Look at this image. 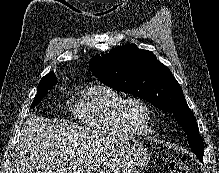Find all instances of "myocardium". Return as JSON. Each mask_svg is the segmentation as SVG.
Instances as JSON below:
<instances>
[{
  "instance_id": "f54148a6",
  "label": "myocardium",
  "mask_w": 219,
  "mask_h": 173,
  "mask_svg": "<svg viewBox=\"0 0 219 173\" xmlns=\"http://www.w3.org/2000/svg\"><path fill=\"white\" fill-rule=\"evenodd\" d=\"M132 104H138L142 106L148 114V122L145 130H140L129 118L128 108ZM117 115L120 123L127 130L137 136H146L152 132V123L154 118V111L152 106L145 99L137 96H130L123 98V100L118 105Z\"/></svg>"
}]
</instances>
